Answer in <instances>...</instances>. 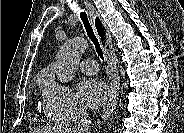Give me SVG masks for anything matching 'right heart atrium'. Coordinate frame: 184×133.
I'll use <instances>...</instances> for the list:
<instances>
[{"mask_svg": "<svg viewBox=\"0 0 184 133\" xmlns=\"http://www.w3.org/2000/svg\"><path fill=\"white\" fill-rule=\"evenodd\" d=\"M43 93L46 113L57 122H70L83 112L67 86L49 79L44 85Z\"/></svg>", "mask_w": 184, "mask_h": 133, "instance_id": "d8ad5b80", "label": "right heart atrium"}]
</instances>
